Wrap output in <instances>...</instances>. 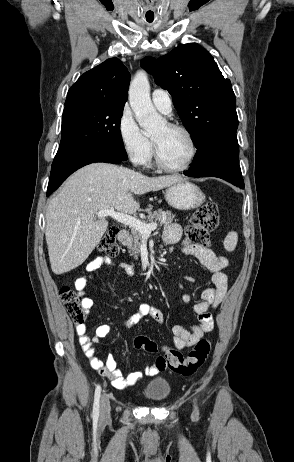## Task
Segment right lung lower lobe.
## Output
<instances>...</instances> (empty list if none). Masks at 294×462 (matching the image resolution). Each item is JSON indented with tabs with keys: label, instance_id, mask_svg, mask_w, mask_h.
Here are the masks:
<instances>
[{
	"label": "right lung lower lobe",
	"instance_id": "98d812e1",
	"mask_svg": "<svg viewBox=\"0 0 294 462\" xmlns=\"http://www.w3.org/2000/svg\"><path fill=\"white\" fill-rule=\"evenodd\" d=\"M126 159L127 154L124 147L112 145L78 148L56 154L52 163L47 196L55 191L70 174L87 164L93 162L118 164Z\"/></svg>",
	"mask_w": 294,
	"mask_h": 462
}]
</instances>
